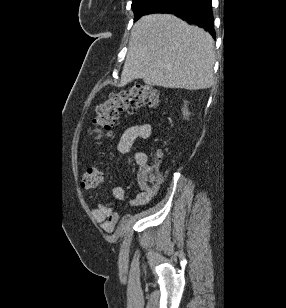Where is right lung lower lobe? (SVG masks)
<instances>
[{
    "instance_id": "1",
    "label": "right lung lower lobe",
    "mask_w": 286,
    "mask_h": 308,
    "mask_svg": "<svg viewBox=\"0 0 286 308\" xmlns=\"http://www.w3.org/2000/svg\"><path fill=\"white\" fill-rule=\"evenodd\" d=\"M152 13L175 14L187 22L207 29L213 38L216 37L211 0H169Z\"/></svg>"
}]
</instances>
